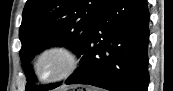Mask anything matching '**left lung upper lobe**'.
<instances>
[{
	"mask_svg": "<svg viewBox=\"0 0 173 91\" xmlns=\"http://www.w3.org/2000/svg\"><path fill=\"white\" fill-rule=\"evenodd\" d=\"M108 0H27L19 37L22 42L20 57L25 64L47 47L64 45L78 56L98 22ZM26 91H46L52 86L37 87L34 76L25 70Z\"/></svg>",
	"mask_w": 173,
	"mask_h": 91,
	"instance_id": "1",
	"label": "left lung upper lobe"
}]
</instances>
